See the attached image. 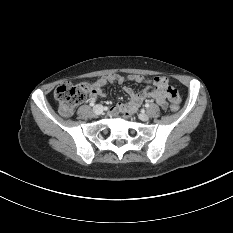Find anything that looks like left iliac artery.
Listing matches in <instances>:
<instances>
[{"instance_id":"left-iliac-artery-1","label":"left iliac artery","mask_w":233,"mask_h":233,"mask_svg":"<svg viewBox=\"0 0 233 233\" xmlns=\"http://www.w3.org/2000/svg\"><path fill=\"white\" fill-rule=\"evenodd\" d=\"M145 107H146V108H148V107H149V104H148V103H146V104H145Z\"/></svg>"}]
</instances>
